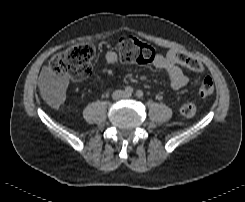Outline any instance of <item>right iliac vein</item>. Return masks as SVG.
<instances>
[{
  "label": "right iliac vein",
  "instance_id": "obj_1",
  "mask_svg": "<svg viewBox=\"0 0 245 202\" xmlns=\"http://www.w3.org/2000/svg\"><path fill=\"white\" fill-rule=\"evenodd\" d=\"M117 96H118V97H122V96H123V93H122V92H119V93L117 94Z\"/></svg>",
  "mask_w": 245,
  "mask_h": 202
}]
</instances>
